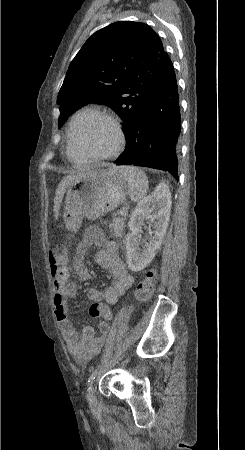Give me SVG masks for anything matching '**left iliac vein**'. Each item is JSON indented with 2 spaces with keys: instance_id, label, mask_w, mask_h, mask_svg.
<instances>
[{
  "instance_id": "obj_1",
  "label": "left iliac vein",
  "mask_w": 245,
  "mask_h": 450,
  "mask_svg": "<svg viewBox=\"0 0 245 450\" xmlns=\"http://www.w3.org/2000/svg\"><path fill=\"white\" fill-rule=\"evenodd\" d=\"M89 395H90L91 401L94 402L96 400V396H95V389H94L93 385L90 388V394Z\"/></svg>"
}]
</instances>
